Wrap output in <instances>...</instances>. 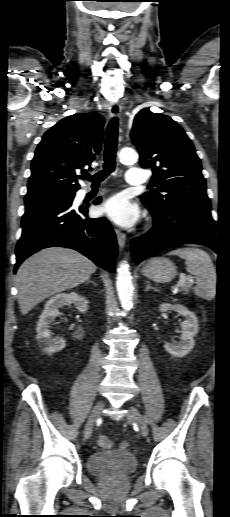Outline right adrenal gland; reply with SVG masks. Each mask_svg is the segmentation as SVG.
Instances as JSON below:
<instances>
[{
  "label": "right adrenal gland",
  "instance_id": "obj_1",
  "mask_svg": "<svg viewBox=\"0 0 230 517\" xmlns=\"http://www.w3.org/2000/svg\"><path fill=\"white\" fill-rule=\"evenodd\" d=\"M88 283H92L94 286H97L96 282L94 281H91L90 279H88L85 284H88Z\"/></svg>",
  "mask_w": 230,
  "mask_h": 517
}]
</instances>
